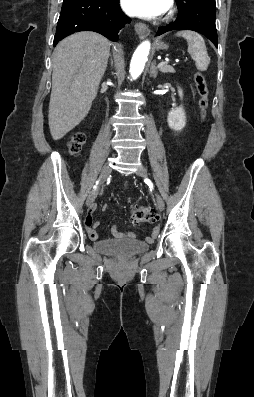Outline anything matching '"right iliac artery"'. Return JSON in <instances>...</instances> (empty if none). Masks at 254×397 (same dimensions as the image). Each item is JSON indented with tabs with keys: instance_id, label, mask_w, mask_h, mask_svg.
Here are the masks:
<instances>
[{
	"instance_id": "obj_1",
	"label": "right iliac artery",
	"mask_w": 254,
	"mask_h": 397,
	"mask_svg": "<svg viewBox=\"0 0 254 397\" xmlns=\"http://www.w3.org/2000/svg\"><path fill=\"white\" fill-rule=\"evenodd\" d=\"M98 184V181L96 182V185ZM96 185L94 186V188H96Z\"/></svg>"
}]
</instances>
